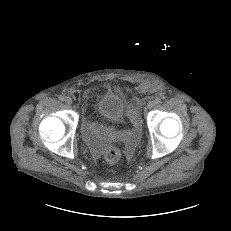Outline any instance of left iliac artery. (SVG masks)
Segmentation results:
<instances>
[{
	"label": "left iliac artery",
	"mask_w": 231,
	"mask_h": 231,
	"mask_svg": "<svg viewBox=\"0 0 231 231\" xmlns=\"http://www.w3.org/2000/svg\"><path fill=\"white\" fill-rule=\"evenodd\" d=\"M154 102H155V104H160V103H161V99H160V98H156V99L154 100Z\"/></svg>",
	"instance_id": "obj_1"
}]
</instances>
